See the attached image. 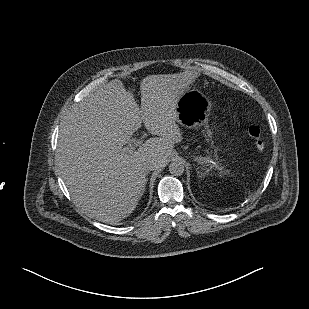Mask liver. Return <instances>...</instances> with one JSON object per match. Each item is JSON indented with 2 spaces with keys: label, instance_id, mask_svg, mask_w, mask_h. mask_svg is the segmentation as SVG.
<instances>
[{
  "label": "liver",
  "instance_id": "obj_1",
  "mask_svg": "<svg viewBox=\"0 0 309 309\" xmlns=\"http://www.w3.org/2000/svg\"><path fill=\"white\" fill-rule=\"evenodd\" d=\"M146 78L141 108L118 80L98 87L66 111L56 161L76 206L88 217L119 221L133 212L146 187L147 166L164 165L181 140L175 106ZM142 122L152 135L137 150L123 148ZM162 137V138H161Z\"/></svg>",
  "mask_w": 309,
  "mask_h": 309
}]
</instances>
